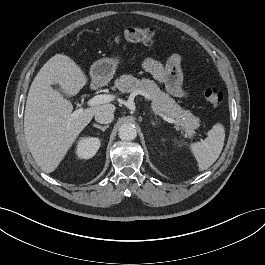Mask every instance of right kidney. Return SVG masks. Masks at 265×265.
I'll list each match as a JSON object with an SVG mask.
<instances>
[{
  "label": "right kidney",
  "instance_id": "right-kidney-1",
  "mask_svg": "<svg viewBox=\"0 0 265 265\" xmlns=\"http://www.w3.org/2000/svg\"><path fill=\"white\" fill-rule=\"evenodd\" d=\"M100 147V140L97 137H84L78 142L76 154L81 159L92 158Z\"/></svg>",
  "mask_w": 265,
  "mask_h": 265
}]
</instances>
